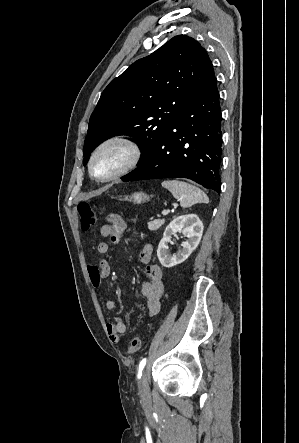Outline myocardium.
<instances>
[{"label": "myocardium", "instance_id": "myocardium-1", "mask_svg": "<svg viewBox=\"0 0 299 443\" xmlns=\"http://www.w3.org/2000/svg\"><path fill=\"white\" fill-rule=\"evenodd\" d=\"M110 146H119L126 157L123 162L111 173L105 176H97L94 172V164L100 154ZM142 158V148L132 137L124 134L112 135L102 140L93 149L88 161V173L92 180L99 183H106L115 180L134 169Z\"/></svg>", "mask_w": 299, "mask_h": 443}]
</instances>
